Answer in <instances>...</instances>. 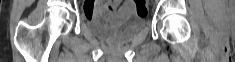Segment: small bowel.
<instances>
[{"label":"small bowel","instance_id":"1","mask_svg":"<svg viewBox=\"0 0 235 62\" xmlns=\"http://www.w3.org/2000/svg\"><path fill=\"white\" fill-rule=\"evenodd\" d=\"M92 4L93 3H87L86 6H85V10H86L87 7H89ZM119 4H120L119 0L109 1V2L105 3V5L110 9L111 13L114 12L118 8ZM132 6H133V4L131 2H126L125 5H124V8L131 9Z\"/></svg>","mask_w":235,"mask_h":62}]
</instances>
